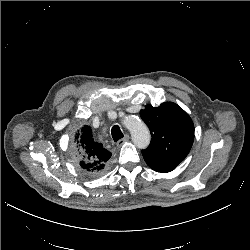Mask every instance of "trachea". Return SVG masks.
<instances>
[{
  "label": "trachea",
  "mask_w": 250,
  "mask_h": 250,
  "mask_svg": "<svg viewBox=\"0 0 250 250\" xmlns=\"http://www.w3.org/2000/svg\"><path fill=\"white\" fill-rule=\"evenodd\" d=\"M111 134H112L113 140L115 142H117L118 140H120L124 136L121 129L117 125L112 127Z\"/></svg>",
  "instance_id": "obj_1"
}]
</instances>
